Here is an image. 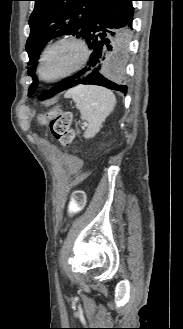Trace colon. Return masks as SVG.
<instances>
[{"mask_svg":"<svg viewBox=\"0 0 183 329\" xmlns=\"http://www.w3.org/2000/svg\"><path fill=\"white\" fill-rule=\"evenodd\" d=\"M40 122L48 123L51 134L62 145H67L73 138V131L70 128L72 114L69 111L58 107L50 108L40 116ZM85 203V195L82 191L75 192L70 201V206H65L64 221H71L72 218L82 217V208Z\"/></svg>","mask_w":183,"mask_h":329,"instance_id":"colon-1","label":"colon"}]
</instances>
